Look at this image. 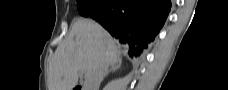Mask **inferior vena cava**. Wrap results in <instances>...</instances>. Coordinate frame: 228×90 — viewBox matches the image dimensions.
Here are the masks:
<instances>
[{
  "mask_svg": "<svg viewBox=\"0 0 228 90\" xmlns=\"http://www.w3.org/2000/svg\"><path fill=\"white\" fill-rule=\"evenodd\" d=\"M108 67L109 63L106 60L97 63L85 79L84 90H98L108 71Z\"/></svg>",
  "mask_w": 228,
  "mask_h": 90,
  "instance_id": "602c4592",
  "label": "inferior vena cava"
}]
</instances>
